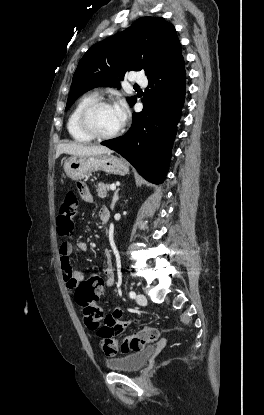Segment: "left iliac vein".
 I'll return each instance as SVG.
<instances>
[{"mask_svg": "<svg viewBox=\"0 0 264 415\" xmlns=\"http://www.w3.org/2000/svg\"><path fill=\"white\" fill-rule=\"evenodd\" d=\"M136 301H137V303H138V304H140V305H144V304H146V303H147L146 296H145L144 294H142V293H139V294L137 295V297H136Z\"/></svg>", "mask_w": 264, "mask_h": 415, "instance_id": "obj_1", "label": "left iliac vein"}]
</instances>
